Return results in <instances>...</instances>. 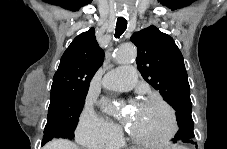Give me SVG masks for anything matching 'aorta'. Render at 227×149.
I'll return each mask as SVG.
<instances>
[{
	"label": "aorta",
	"instance_id": "aorta-1",
	"mask_svg": "<svg viewBox=\"0 0 227 149\" xmlns=\"http://www.w3.org/2000/svg\"><path fill=\"white\" fill-rule=\"evenodd\" d=\"M136 58V49L133 46H122L116 52V59L121 63H131Z\"/></svg>",
	"mask_w": 227,
	"mask_h": 149
}]
</instances>
